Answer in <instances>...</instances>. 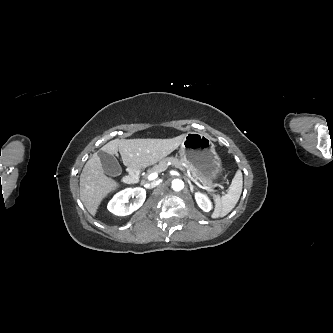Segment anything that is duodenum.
I'll list each match as a JSON object with an SVG mask.
<instances>
[{
  "mask_svg": "<svg viewBox=\"0 0 333 333\" xmlns=\"http://www.w3.org/2000/svg\"><path fill=\"white\" fill-rule=\"evenodd\" d=\"M138 180H139V171L134 168H130L123 179L124 183L126 184H134Z\"/></svg>",
  "mask_w": 333,
  "mask_h": 333,
  "instance_id": "duodenum-1",
  "label": "duodenum"
}]
</instances>
